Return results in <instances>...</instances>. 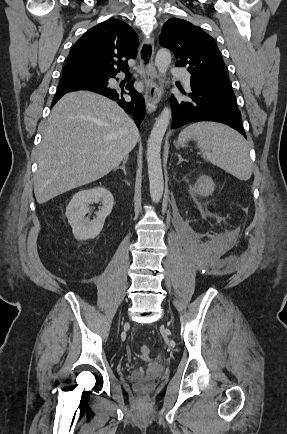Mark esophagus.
I'll return each mask as SVG.
<instances>
[{"label":"esophagus","mask_w":287,"mask_h":434,"mask_svg":"<svg viewBox=\"0 0 287 434\" xmlns=\"http://www.w3.org/2000/svg\"><path fill=\"white\" fill-rule=\"evenodd\" d=\"M154 39L144 38L140 51L139 61L145 82V104L148 112H154L161 100L163 87L159 75L154 67Z\"/></svg>","instance_id":"esophagus-1"}]
</instances>
